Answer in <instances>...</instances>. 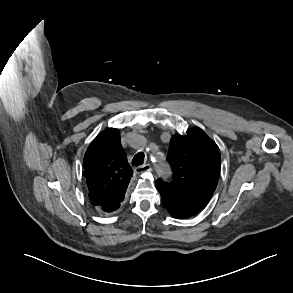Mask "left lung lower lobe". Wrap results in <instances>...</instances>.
I'll list each match as a JSON object with an SVG mask.
<instances>
[{
	"label": "left lung lower lobe",
	"mask_w": 293,
	"mask_h": 293,
	"mask_svg": "<svg viewBox=\"0 0 293 293\" xmlns=\"http://www.w3.org/2000/svg\"><path fill=\"white\" fill-rule=\"evenodd\" d=\"M161 198H162V202H163L164 206L167 208V210L170 212V214L173 217L178 218V219H184V218L195 215V213H193L192 211H190V210H188V209H186L176 203H173L172 201H170L164 197H161Z\"/></svg>",
	"instance_id": "obj_1"
}]
</instances>
